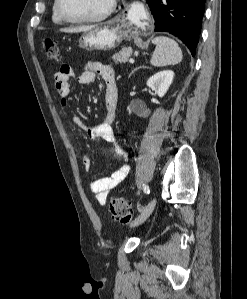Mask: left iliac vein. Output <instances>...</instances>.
I'll return each mask as SVG.
<instances>
[{"mask_svg": "<svg viewBox=\"0 0 247 299\" xmlns=\"http://www.w3.org/2000/svg\"><path fill=\"white\" fill-rule=\"evenodd\" d=\"M156 205V199L153 198L141 211L140 215L132 222L131 227L142 224L153 212Z\"/></svg>", "mask_w": 247, "mask_h": 299, "instance_id": "left-iliac-vein-1", "label": "left iliac vein"}]
</instances>
